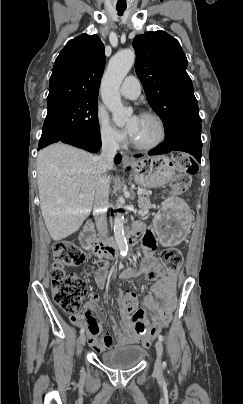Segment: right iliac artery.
Segmentation results:
<instances>
[{"mask_svg": "<svg viewBox=\"0 0 243 404\" xmlns=\"http://www.w3.org/2000/svg\"><path fill=\"white\" fill-rule=\"evenodd\" d=\"M84 333V329L82 328L81 330H80V334H83Z\"/></svg>", "mask_w": 243, "mask_h": 404, "instance_id": "82829eb1", "label": "right iliac artery"}]
</instances>
